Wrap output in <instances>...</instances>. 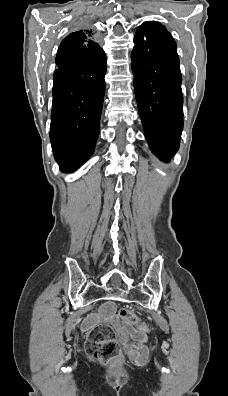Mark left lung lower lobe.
Here are the masks:
<instances>
[{
	"label": "left lung lower lobe",
	"mask_w": 228,
	"mask_h": 396,
	"mask_svg": "<svg viewBox=\"0 0 228 396\" xmlns=\"http://www.w3.org/2000/svg\"><path fill=\"white\" fill-rule=\"evenodd\" d=\"M131 54L134 89L150 150L169 161L179 148L183 96L176 43L166 28L135 35Z\"/></svg>",
	"instance_id": "0a47b994"
}]
</instances>
